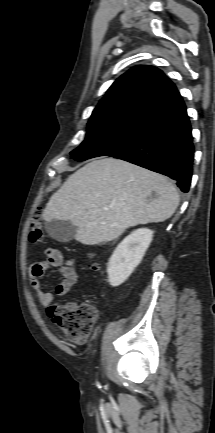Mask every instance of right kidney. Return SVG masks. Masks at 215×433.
Segmentation results:
<instances>
[{
	"label": "right kidney",
	"instance_id": "ca27d5eb",
	"mask_svg": "<svg viewBox=\"0 0 215 433\" xmlns=\"http://www.w3.org/2000/svg\"><path fill=\"white\" fill-rule=\"evenodd\" d=\"M153 237V231L140 228L128 235L114 250L108 262V282L122 284L141 262Z\"/></svg>",
	"mask_w": 215,
	"mask_h": 433
}]
</instances>
